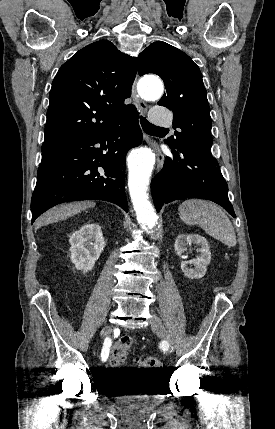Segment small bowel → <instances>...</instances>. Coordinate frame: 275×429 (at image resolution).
Returning a JSON list of instances; mask_svg holds the SVG:
<instances>
[{
    "label": "small bowel",
    "mask_w": 275,
    "mask_h": 429,
    "mask_svg": "<svg viewBox=\"0 0 275 429\" xmlns=\"http://www.w3.org/2000/svg\"><path fill=\"white\" fill-rule=\"evenodd\" d=\"M128 338V336H124L122 337L119 341H121L122 339ZM110 351V350H109Z\"/></svg>",
    "instance_id": "1"
}]
</instances>
